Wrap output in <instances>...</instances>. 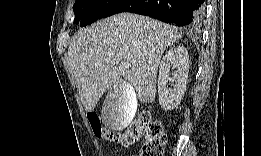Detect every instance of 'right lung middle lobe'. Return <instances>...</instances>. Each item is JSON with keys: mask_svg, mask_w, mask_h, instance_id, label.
I'll return each mask as SVG.
<instances>
[{"mask_svg": "<svg viewBox=\"0 0 261 156\" xmlns=\"http://www.w3.org/2000/svg\"><path fill=\"white\" fill-rule=\"evenodd\" d=\"M123 0H76L73 10L74 23L81 27L106 17L111 11L121 5Z\"/></svg>", "mask_w": 261, "mask_h": 156, "instance_id": "right-lung-middle-lobe-1", "label": "right lung middle lobe"}]
</instances>
